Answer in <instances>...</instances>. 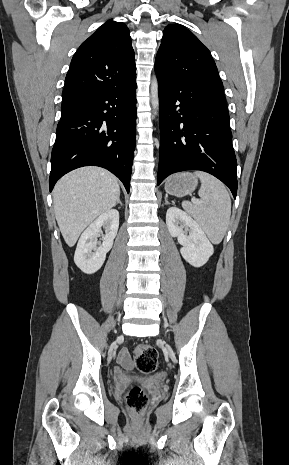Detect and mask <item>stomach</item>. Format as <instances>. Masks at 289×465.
Wrapping results in <instances>:
<instances>
[{"instance_id": "obj_1", "label": "stomach", "mask_w": 289, "mask_h": 465, "mask_svg": "<svg viewBox=\"0 0 289 465\" xmlns=\"http://www.w3.org/2000/svg\"><path fill=\"white\" fill-rule=\"evenodd\" d=\"M196 176L189 172L177 173L169 177L165 182V191L177 197L190 195L197 187Z\"/></svg>"}]
</instances>
